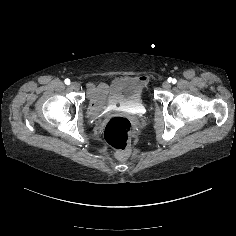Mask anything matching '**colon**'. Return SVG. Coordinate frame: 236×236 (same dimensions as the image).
<instances>
[{
  "label": "colon",
  "mask_w": 236,
  "mask_h": 236,
  "mask_svg": "<svg viewBox=\"0 0 236 236\" xmlns=\"http://www.w3.org/2000/svg\"><path fill=\"white\" fill-rule=\"evenodd\" d=\"M131 121L125 116H114L106 123L104 138L116 151V158L125 160L130 155Z\"/></svg>",
  "instance_id": "obj_1"
}]
</instances>
